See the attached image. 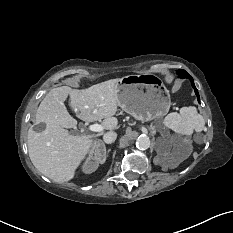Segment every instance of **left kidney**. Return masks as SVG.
Instances as JSON below:
<instances>
[{
  "label": "left kidney",
  "instance_id": "obj_1",
  "mask_svg": "<svg viewBox=\"0 0 233 233\" xmlns=\"http://www.w3.org/2000/svg\"><path fill=\"white\" fill-rule=\"evenodd\" d=\"M167 142V148L165 150V156L169 157L172 160H176L174 155L170 154L171 148L173 146L174 150H178L180 147V144L178 142H174L173 140H166Z\"/></svg>",
  "mask_w": 233,
  "mask_h": 233
}]
</instances>
